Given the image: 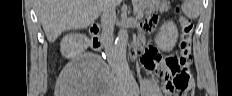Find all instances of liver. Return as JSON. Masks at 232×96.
<instances>
[{
	"instance_id": "6515ba94",
	"label": "liver",
	"mask_w": 232,
	"mask_h": 96,
	"mask_svg": "<svg viewBox=\"0 0 232 96\" xmlns=\"http://www.w3.org/2000/svg\"><path fill=\"white\" fill-rule=\"evenodd\" d=\"M102 7L103 0H35L36 13L49 42L64 31L88 27L98 18Z\"/></svg>"
}]
</instances>
